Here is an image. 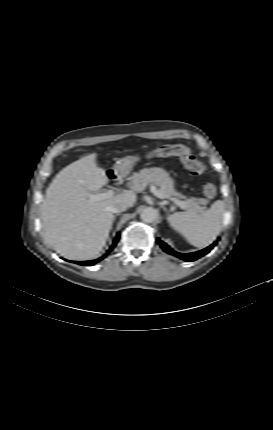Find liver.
Wrapping results in <instances>:
<instances>
[{
  "mask_svg": "<svg viewBox=\"0 0 273 430\" xmlns=\"http://www.w3.org/2000/svg\"><path fill=\"white\" fill-rule=\"evenodd\" d=\"M97 154L87 155L63 168L46 191L41 219L47 242L70 260L95 258L106 244L112 228L109 207L117 201L133 207L137 201L134 185L109 199L90 202L89 195L108 182Z\"/></svg>",
  "mask_w": 273,
  "mask_h": 430,
  "instance_id": "6515ba94",
  "label": "liver"
}]
</instances>
